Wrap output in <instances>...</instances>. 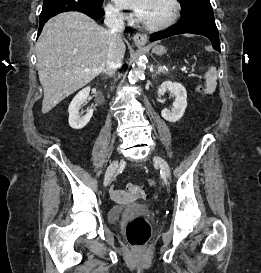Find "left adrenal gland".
<instances>
[{
    "instance_id": "obj_1",
    "label": "left adrenal gland",
    "mask_w": 261,
    "mask_h": 273,
    "mask_svg": "<svg viewBox=\"0 0 261 273\" xmlns=\"http://www.w3.org/2000/svg\"><path fill=\"white\" fill-rule=\"evenodd\" d=\"M161 72L164 73V70L161 65H158V70L156 71V74H159Z\"/></svg>"
}]
</instances>
